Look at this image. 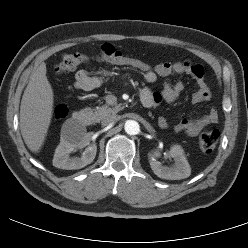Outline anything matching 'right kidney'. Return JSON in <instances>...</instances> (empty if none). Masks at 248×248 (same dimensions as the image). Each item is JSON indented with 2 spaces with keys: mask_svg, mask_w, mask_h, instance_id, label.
<instances>
[{
  "mask_svg": "<svg viewBox=\"0 0 248 248\" xmlns=\"http://www.w3.org/2000/svg\"><path fill=\"white\" fill-rule=\"evenodd\" d=\"M84 134L85 131H81L78 137L64 133L61 134L60 144L55 150L53 166L60 169L73 170L81 169L93 162L96 156L97 146L84 141ZM87 145L89 146L85 149L81 157L69 156L74 149H81Z\"/></svg>",
  "mask_w": 248,
  "mask_h": 248,
  "instance_id": "ca27d5eb",
  "label": "right kidney"
}]
</instances>
